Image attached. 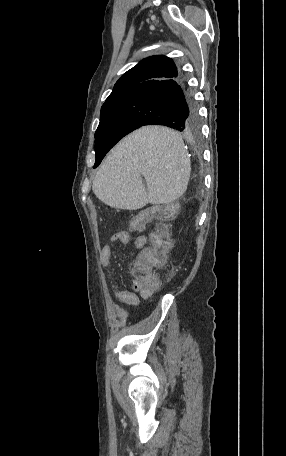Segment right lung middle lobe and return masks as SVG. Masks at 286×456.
Instances as JSON below:
<instances>
[{
	"label": "right lung middle lobe",
	"instance_id": "right-lung-middle-lobe-1",
	"mask_svg": "<svg viewBox=\"0 0 286 456\" xmlns=\"http://www.w3.org/2000/svg\"><path fill=\"white\" fill-rule=\"evenodd\" d=\"M131 114V106L125 97L103 104L100 123L95 133L94 168L121 138L135 129Z\"/></svg>",
	"mask_w": 286,
	"mask_h": 456
}]
</instances>
